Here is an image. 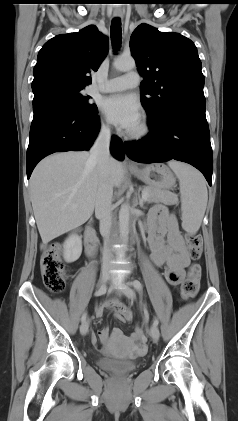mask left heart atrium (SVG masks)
<instances>
[{"label": "left heart atrium", "instance_id": "39dd6f15", "mask_svg": "<svg viewBox=\"0 0 238 421\" xmlns=\"http://www.w3.org/2000/svg\"><path fill=\"white\" fill-rule=\"evenodd\" d=\"M101 109L107 118L127 131H133L140 123V106L131 95L116 94L107 97L101 104Z\"/></svg>", "mask_w": 238, "mask_h": 421}]
</instances>
